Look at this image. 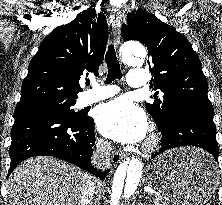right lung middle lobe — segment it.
I'll return each instance as SVG.
<instances>
[{
  "mask_svg": "<svg viewBox=\"0 0 222 205\" xmlns=\"http://www.w3.org/2000/svg\"><path fill=\"white\" fill-rule=\"evenodd\" d=\"M74 104H75V101H72V102L48 101V102H44L40 104L37 107L48 108L50 110L59 112L61 114L66 115L69 119L73 121H81V122L85 121L88 118L87 114L82 111H78V112L74 111V109H72V106Z\"/></svg>",
  "mask_w": 222,
  "mask_h": 205,
  "instance_id": "dd1d6c3e",
  "label": "right lung middle lobe"
}]
</instances>
